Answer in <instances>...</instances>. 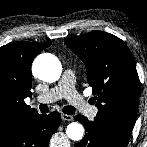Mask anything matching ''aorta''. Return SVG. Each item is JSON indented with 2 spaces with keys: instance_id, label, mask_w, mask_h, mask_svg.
<instances>
[{
  "instance_id": "1",
  "label": "aorta",
  "mask_w": 147,
  "mask_h": 147,
  "mask_svg": "<svg viewBox=\"0 0 147 147\" xmlns=\"http://www.w3.org/2000/svg\"><path fill=\"white\" fill-rule=\"evenodd\" d=\"M32 72L39 80L52 83L60 78L62 66L57 57L45 53L36 57ZM66 134L71 140L80 141L84 135V127L78 122L70 123L66 128Z\"/></svg>"
}]
</instances>
